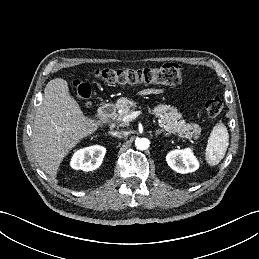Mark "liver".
Returning <instances> with one entry per match:
<instances>
[{
    "label": "liver",
    "mask_w": 259,
    "mask_h": 259,
    "mask_svg": "<svg viewBox=\"0 0 259 259\" xmlns=\"http://www.w3.org/2000/svg\"><path fill=\"white\" fill-rule=\"evenodd\" d=\"M98 126L96 120L83 114L64 79L50 80L32 127L33 154L41 169L55 180L69 150L96 132Z\"/></svg>",
    "instance_id": "obj_1"
}]
</instances>
